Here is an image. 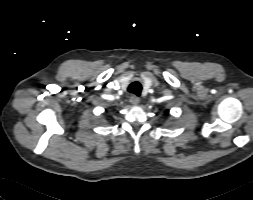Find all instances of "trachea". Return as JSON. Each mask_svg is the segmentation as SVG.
Listing matches in <instances>:
<instances>
[{"label": "trachea", "instance_id": "trachea-1", "mask_svg": "<svg viewBox=\"0 0 253 200\" xmlns=\"http://www.w3.org/2000/svg\"><path fill=\"white\" fill-rule=\"evenodd\" d=\"M141 91H142V85L138 81L131 83L128 87V92L133 93L137 96L140 95Z\"/></svg>", "mask_w": 253, "mask_h": 200}]
</instances>
